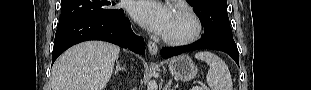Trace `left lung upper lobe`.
I'll return each mask as SVG.
<instances>
[{"label": "left lung upper lobe", "instance_id": "5c2ea615", "mask_svg": "<svg viewBox=\"0 0 311 90\" xmlns=\"http://www.w3.org/2000/svg\"><path fill=\"white\" fill-rule=\"evenodd\" d=\"M204 27L203 37L233 39L226 0H189Z\"/></svg>", "mask_w": 311, "mask_h": 90}]
</instances>
